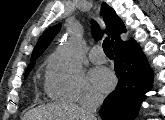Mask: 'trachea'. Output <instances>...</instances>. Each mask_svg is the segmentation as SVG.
I'll return each mask as SVG.
<instances>
[{
	"mask_svg": "<svg viewBox=\"0 0 165 120\" xmlns=\"http://www.w3.org/2000/svg\"><path fill=\"white\" fill-rule=\"evenodd\" d=\"M103 50L105 54H113L109 38L103 41Z\"/></svg>",
	"mask_w": 165,
	"mask_h": 120,
	"instance_id": "trachea-1",
	"label": "trachea"
}]
</instances>
